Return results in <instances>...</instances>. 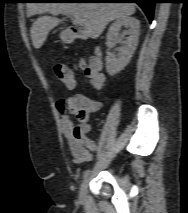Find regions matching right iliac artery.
Segmentation results:
<instances>
[{
  "instance_id": "obj_1",
  "label": "right iliac artery",
  "mask_w": 188,
  "mask_h": 213,
  "mask_svg": "<svg viewBox=\"0 0 188 213\" xmlns=\"http://www.w3.org/2000/svg\"><path fill=\"white\" fill-rule=\"evenodd\" d=\"M90 173V170H86L84 173H83V178H86Z\"/></svg>"
}]
</instances>
